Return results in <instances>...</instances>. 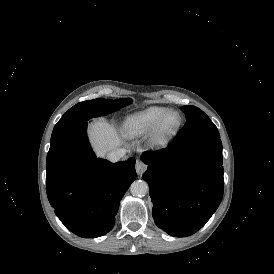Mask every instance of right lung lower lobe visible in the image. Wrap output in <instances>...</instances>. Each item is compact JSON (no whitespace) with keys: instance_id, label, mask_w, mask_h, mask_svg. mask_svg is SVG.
I'll return each instance as SVG.
<instances>
[{"instance_id":"right-lung-lower-lobe-1","label":"right lung lower lobe","mask_w":274,"mask_h":274,"mask_svg":"<svg viewBox=\"0 0 274 274\" xmlns=\"http://www.w3.org/2000/svg\"><path fill=\"white\" fill-rule=\"evenodd\" d=\"M87 122L51 143L46 161L47 196L57 217L74 234L95 238L114 226L120 200L136 178L135 159H97Z\"/></svg>"}]
</instances>
